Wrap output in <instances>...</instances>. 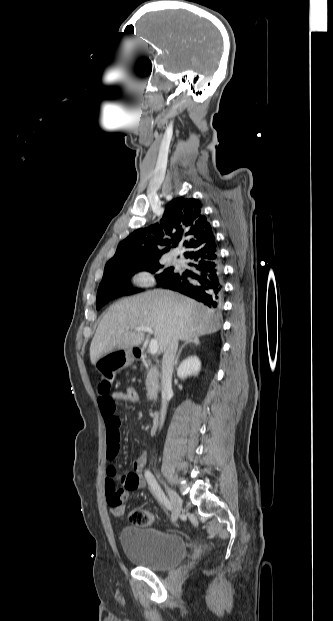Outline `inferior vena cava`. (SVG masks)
Returning a JSON list of instances; mask_svg holds the SVG:
<instances>
[{
	"instance_id": "1",
	"label": "inferior vena cava",
	"mask_w": 333,
	"mask_h": 621,
	"mask_svg": "<svg viewBox=\"0 0 333 621\" xmlns=\"http://www.w3.org/2000/svg\"><path fill=\"white\" fill-rule=\"evenodd\" d=\"M178 336L173 335L162 359V404L160 411V429L162 428L168 406V394L172 387V374L175 354L178 348Z\"/></svg>"
}]
</instances>
